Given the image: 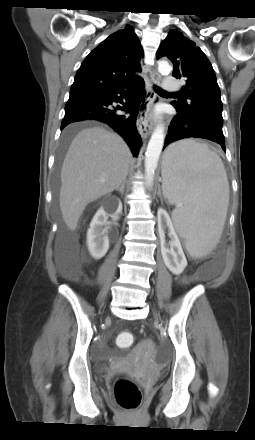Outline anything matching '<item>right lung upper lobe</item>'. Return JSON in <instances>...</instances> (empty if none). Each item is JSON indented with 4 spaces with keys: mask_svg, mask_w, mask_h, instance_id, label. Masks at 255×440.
Instances as JSON below:
<instances>
[{
    "mask_svg": "<svg viewBox=\"0 0 255 440\" xmlns=\"http://www.w3.org/2000/svg\"><path fill=\"white\" fill-rule=\"evenodd\" d=\"M133 27L111 34L93 49L81 64L71 95L110 89L139 76L143 49Z\"/></svg>",
    "mask_w": 255,
    "mask_h": 440,
    "instance_id": "cb5924a9",
    "label": "right lung upper lobe"
}]
</instances>
